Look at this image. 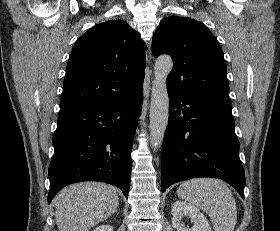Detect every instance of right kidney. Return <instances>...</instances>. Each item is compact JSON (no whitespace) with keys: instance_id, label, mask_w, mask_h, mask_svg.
<instances>
[{"instance_id":"obj_1","label":"right kidney","mask_w":280,"mask_h":231,"mask_svg":"<svg viewBox=\"0 0 280 231\" xmlns=\"http://www.w3.org/2000/svg\"><path fill=\"white\" fill-rule=\"evenodd\" d=\"M93 231H113L112 225H106V223H103V225H98V227H95Z\"/></svg>"}]
</instances>
